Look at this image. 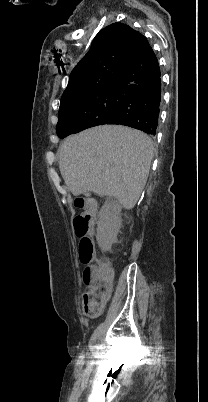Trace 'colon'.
<instances>
[{
  "label": "colon",
  "mask_w": 208,
  "mask_h": 402,
  "mask_svg": "<svg viewBox=\"0 0 208 402\" xmlns=\"http://www.w3.org/2000/svg\"><path fill=\"white\" fill-rule=\"evenodd\" d=\"M92 219L89 213L77 217L73 221L75 234L80 238L77 255L81 265H86L83 273V280L88 286L83 293V308L85 314H102L106 308V301L112 294L110 287L114 267L109 262H99L94 256L93 249L95 244L92 240L93 235L89 232Z\"/></svg>",
  "instance_id": "1"
}]
</instances>
